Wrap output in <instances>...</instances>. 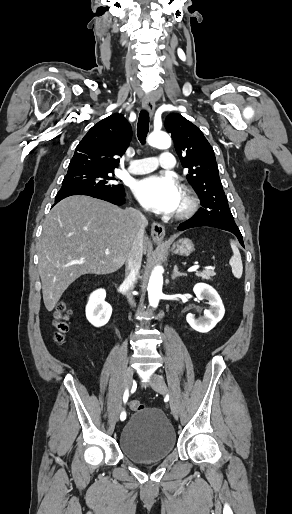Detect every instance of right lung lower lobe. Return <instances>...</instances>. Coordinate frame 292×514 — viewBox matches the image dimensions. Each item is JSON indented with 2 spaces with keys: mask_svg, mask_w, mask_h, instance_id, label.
I'll list each match as a JSON object with an SVG mask.
<instances>
[{
  "mask_svg": "<svg viewBox=\"0 0 292 514\" xmlns=\"http://www.w3.org/2000/svg\"><path fill=\"white\" fill-rule=\"evenodd\" d=\"M72 195H87L94 198L102 199L108 202H111L116 205H122L125 203V191L119 190L114 192H107L102 190H96V189H87V188H67V189H60V191L57 193L55 197V204H57L62 199L72 196Z\"/></svg>",
  "mask_w": 292,
  "mask_h": 514,
  "instance_id": "1",
  "label": "right lung lower lobe"
}]
</instances>
